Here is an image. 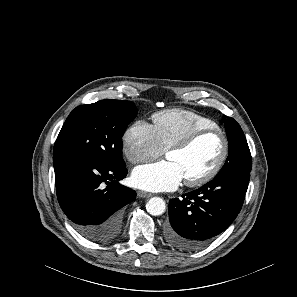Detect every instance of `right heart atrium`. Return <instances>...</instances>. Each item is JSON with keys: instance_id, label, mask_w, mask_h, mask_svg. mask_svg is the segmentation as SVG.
Masks as SVG:
<instances>
[{"instance_id": "1", "label": "right heart atrium", "mask_w": 297, "mask_h": 297, "mask_svg": "<svg viewBox=\"0 0 297 297\" xmlns=\"http://www.w3.org/2000/svg\"><path fill=\"white\" fill-rule=\"evenodd\" d=\"M122 148L132 164L152 160L164 152L154 126L144 120H138L126 129L122 138Z\"/></svg>"}]
</instances>
